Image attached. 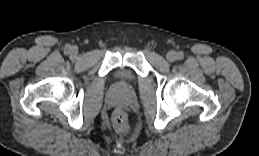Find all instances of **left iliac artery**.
<instances>
[{"label":"left iliac artery","mask_w":259,"mask_h":156,"mask_svg":"<svg viewBox=\"0 0 259 156\" xmlns=\"http://www.w3.org/2000/svg\"><path fill=\"white\" fill-rule=\"evenodd\" d=\"M177 58H178L179 60H181V59L183 58V53H182V52H178Z\"/></svg>","instance_id":"obj_1"}]
</instances>
